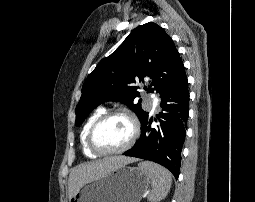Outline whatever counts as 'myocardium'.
<instances>
[{
  "label": "myocardium",
  "mask_w": 255,
  "mask_h": 202,
  "mask_svg": "<svg viewBox=\"0 0 255 202\" xmlns=\"http://www.w3.org/2000/svg\"><path fill=\"white\" fill-rule=\"evenodd\" d=\"M113 116H122L125 117L131 124L132 127V133H131V137L128 140V142L122 146L119 149L116 150H112V151H104L99 149L95 142H94V135L96 130L98 129V127L108 118L113 117ZM140 135V124L137 120V118L129 111L123 110V109H114V110H110V111H106L104 113H102L91 125L88 134H87V145L89 147V149L95 153L96 155H100V156H110V155H117V154H121L124 153L125 151H127L128 149H130L134 143L136 142V140L138 139Z\"/></svg>",
  "instance_id": "myocardium-1"
}]
</instances>
